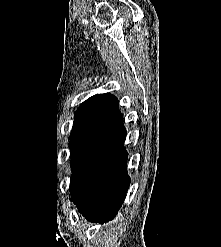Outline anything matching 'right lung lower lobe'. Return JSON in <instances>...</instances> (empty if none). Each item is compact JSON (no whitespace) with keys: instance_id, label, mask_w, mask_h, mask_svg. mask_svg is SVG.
<instances>
[{"instance_id":"98d812e1","label":"right lung lower lobe","mask_w":221,"mask_h":247,"mask_svg":"<svg viewBox=\"0 0 221 247\" xmlns=\"http://www.w3.org/2000/svg\"><path fill=\"white\" fill-rule=\"evenodd\" d=\"M126 130L122 117L96 125L69 143L72 177L71 201L89 221L114 218L129 188Z\"/></svg>"}]
</instances>
